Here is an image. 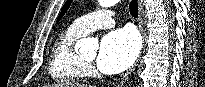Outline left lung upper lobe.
I'll use <instances>...</instances> for the list:
<instances>
[{"instance_id": "5c2ea615", "label": "left lung upper lobe", "mask_w": 205, "mask_h": 87, "mask_svg": "<svg viewBox=\"0 0 205 87\" xmlns=\"http://www.w3.org/2000/svg\"><path fill=\"white\" fill-rule=\"evenodd\" d=\"M72 0H67V2L65 3V5L63 6L60 15L58 17V21L61 19V17L64 15V13L67 11V9L69 8L70 4H71Z\"/></svg>"}]
</instances>
